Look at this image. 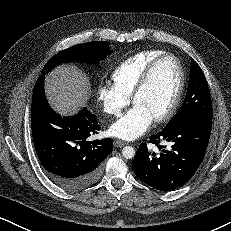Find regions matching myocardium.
I'll return each mask as SVG.
<instances>
[{
  "mask_svg": "<svg viewBox=\"0 0 231 231\" xmlns=\"http://www.w3.org/2000/svg\"><path fill=\"white\" fill-rule=\"evenodd\" d=\"M167 58L173 59L176 62L177 66H178V70H179V82H178V86H177L175 95L173 97V100H172L170 106L168 107V109L164 113H162L160 116H158L154 119L155 122H157V123L166 121L170 117H172V115L175 113V111H176V109L180 103L181 97L183 95L184 88H185V70H184L183 64L180 61V59L171 53H163V54L157 56L156 58H154L147 65V67L144 69V71H143V73H142V75H141L132 95H131V101L134 104L136 98L139 96V94L147 86V84L150 80V77H151L155 67L157 66V64L159 62H161L162 60L167 59Z\"/></svg>",
  "mask_w": 231,
  "mask_h": 231,
  "instance_id": "f54148a6",
  "label": "myocardium"
}]
</instances>
